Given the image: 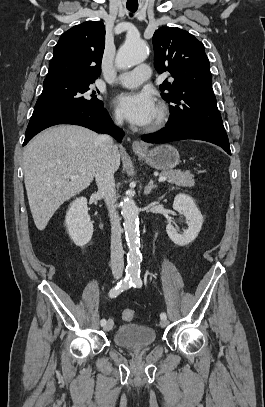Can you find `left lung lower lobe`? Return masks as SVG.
<instances>
[{"mask_svg":"<svg viewBox=\"0 0 265 407\" xmlns=\"http://www.w3.org/2000/svg\"><path fill=\"white\" fill-rule=\"evenodd\" d=\"M197 139L208 141L222 147L228 154H231L228 137L220 136L211 131L194 126H173L166 127L156 134L142 136V140L149 143H163L169 141Z\"/></svg>","mask_w":265,"mask_h":407,"instance_id":"1","label":"left lung lower lobe"}]
</instances>
